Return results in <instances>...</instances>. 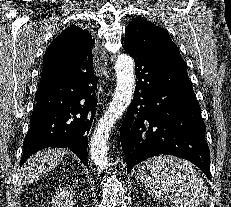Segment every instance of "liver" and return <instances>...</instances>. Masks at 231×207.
I'll use <instances>...</instances> for the list:
<instances>
[{"mask_svg":"<svg viewBox=\"0 0 231 207\" xmlns=\"http://www.w3.org/2000/svg\"><path fill=\"white\" fill-rule=\"evenodd\" d=\"M68 152V150L60 148L45 149L37 152L25 162L21 170L20 180L32 182L40 179L52 168L58 166Z\"/></svg>","mask_w":231,"mask_h":207,"instance_id":"liver-1","label":"liver"}]
</instances>
